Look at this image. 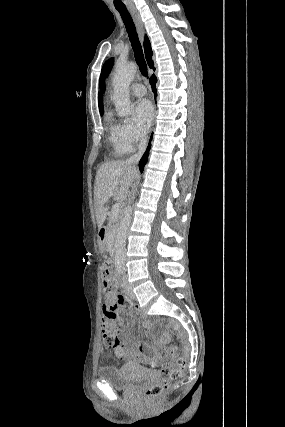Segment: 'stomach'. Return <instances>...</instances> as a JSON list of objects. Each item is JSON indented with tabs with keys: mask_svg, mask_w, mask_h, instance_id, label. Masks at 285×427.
Wrapping results in <instances>:
<instances>
[{
	"mask_svg": "<svg viewBox=\"0 0 285 427\" xmlns=\"http://www.w3.org/2000/svg\"><path fill=\"white\" fill-rule=\"evenodd\" d=\"M99 249L101 251H104L106 249V242L105 241H100L99 242Z\"/></svg>",
	"mask_w": 285,
	"mask_h": 427,
	"instance_id": "1",
	"label": "stomach"
}]
</instances>
